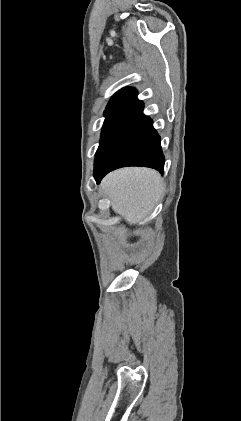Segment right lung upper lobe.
Returning a JSON list of instances; mask_svg holds the SVG:
<instances>
[{
	"label": "right lung upper lobe",
	"mask_w": 241,
	"mask_h": 421,
	"mask_svg": "<svg viewBox=\"0 0 241 421\" xmlns=\"http://www.w3.org/2000/svg\"><path fill=\"white\" fill-rule=\"evenodd\" d=\"M137 101V91L134 88H123L110 100L107 109L120 106H133Z\"/></svg>",
	"instance_id": "obj_1"
}]
</instances>
